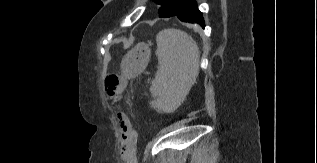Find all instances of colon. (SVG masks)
<instances>
[{
    "mask_svg": "<svg viewBox=\"0 0 317 163\" xmlns=\"http://www.w3.org/2000/svg\"><path fill=\"white\" fill-rule=\"evenodd\" d=\"M105 89L109 98L117 101L120 99L123 83L117 76H109L105 81Z\"/></svg>",
    "mask_w": 317,
    "mask_h": 163,
    "instance_id": "1",
    "label": "colon"
}]
</instances>
